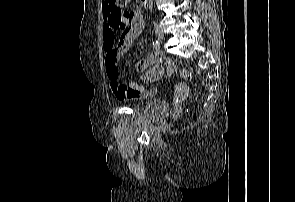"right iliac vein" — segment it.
Masks as SVG:
<instances>
[{"label": "right iliac vein", "mask_w": 295, "mask_h": 202, "mask_svg": "<svg viewBox=\"0 0 295 202\" xmlns=\"http://www.w3.org/2000/svg\"><path fill=\"white\" fill-rule=\"evenodd\" d=\"M154 31H155V35H156L158 40H163L164 39V37H165L164 32L159 26H155Z\"/></svg>", "instance_id": "right-iliac-vein-1"}]
</instances>
